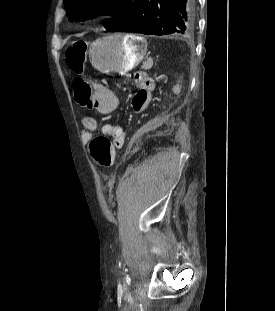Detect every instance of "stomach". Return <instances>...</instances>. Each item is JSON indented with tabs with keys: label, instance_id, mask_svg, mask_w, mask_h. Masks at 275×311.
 I'll use <instances>...</instances> for the list:
<instances>
[{
	"label": "stomach",
	"instance_id": "obj_1",
	"mask_svg": "<svg viewBox=\"0 0 275 311\" xmlns=\"http://www.w3.org/2000/svg\"><path fill=\"white\" fill-rule=\"evenodd\" d=\"M147 42L135 34L116 33L96 39L89 49L92 66L104 74L125 75L143 60Z\"/></svg>",
	"mask_w": 275,
	"mask_h": 311
}]
</instances>
